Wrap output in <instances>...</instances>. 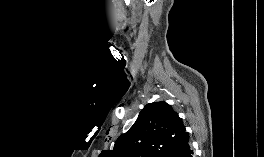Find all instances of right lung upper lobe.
Instances as JSON below:
<instances>
[{
  "label": "right lung upper lobe",
  "mask_w": 264,
  "mask_h": 157,
  "mask_svg": "<svg viewBox=\"0 0 264 157\" xmlns=\"http://www.w3.org/2000/svg\"><path fill=\"white\" fill-rule=\"evenodd\" d=\"M189 141L182 119L164 101L147 104L109 157H173ZM101 156V155H100Z\"/></svg>",
  "instance_id": "obj_1"
}]
</instances>
